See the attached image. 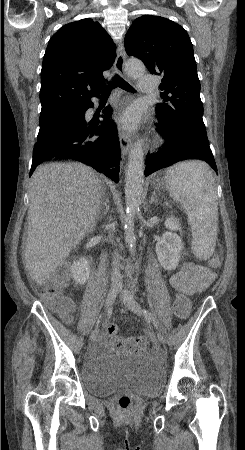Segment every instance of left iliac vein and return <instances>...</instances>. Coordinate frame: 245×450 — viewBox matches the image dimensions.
<instances>
[{
    "instance_id": "1",
    "label": "left iliac vein",
    "mask_w": 245,
    "mask_h": 450,
    "mask_svg": "<svg viewBox=\"0 0 245 450\" xmlns=\"http://www.w3.org/2000/svg\"><path fill=\"white\" fill-rule=\"evenodd\" d=\"M125 305L130 309L133 313L137 315H142L141 306L137 303V301L133 297H128L124 300ZM158 341L161 344L165 343V338L161 332H157Z\"/></svg>"
}]
</instances>
